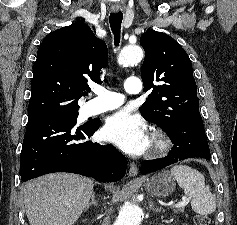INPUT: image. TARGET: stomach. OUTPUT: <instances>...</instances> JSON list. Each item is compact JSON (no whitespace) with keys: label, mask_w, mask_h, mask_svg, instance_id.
I'll return each mask as SVG.
<instances>
[{"label":"stomach","mask_w":237,"mask_h":225,"mask_svg":"<svg viewBox=\"0 0 237 225\" xmlns=\"http://www.w3.org/2000/svg\"><path fill=\"white\" fill-rule=\"evenodd\" d=\"M146 190L157 197H167L175 190V178L168 171H162L144 181Z\"/></svg>","instance_id":"stomach-1"}]
</instances>
